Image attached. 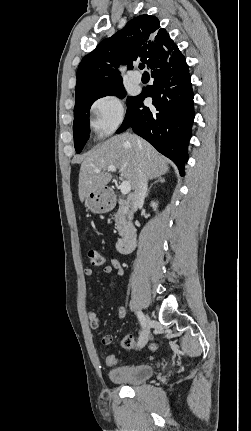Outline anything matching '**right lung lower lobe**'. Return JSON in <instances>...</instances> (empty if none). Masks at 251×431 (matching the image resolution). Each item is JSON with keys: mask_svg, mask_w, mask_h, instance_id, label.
Here are the masks:
<instances>
[{"mask_svg": "<svg viewBox=\"0 0 251 431\" xmlns=\"http://www.w3.org/2000/svg\"><path fill=\"white\" fill-rule=\"evenodd\" d=\"M151 69L154 84L127 103V114L117 133L132 127L137 135L170 158L183 175L195 116L188 66L176 46L168 59L157 62ZM146 97L153 98V107L143 105Z\"/></svg>", "mask_w": 251, "mask_h": 431, "instance_id": "1", "label": "right lung lower lobe"}]
</instances>
